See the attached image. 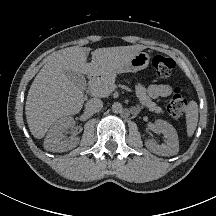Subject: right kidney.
<instances>
[{
  "mask_svg": "<svg viewBox=\"0 0 216 216\" xmlns=\"http://www.w3.org/2000/svg\"><path fill=\"white\" fill-rule=\"evenodd\" d=\"M74 124L75 121L70 116L56 121L46 135L44 148L51 152H65L75 148L79 143L78 137L63 140V130L72 127Z\"/></svg>",
  "mask_w": 216,
  "mask_h": 216,
  "instance_id": "obj_1",
  "label": "right kidney"
}]
</instances>
